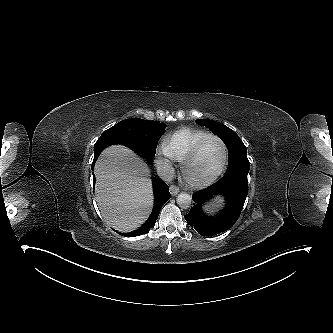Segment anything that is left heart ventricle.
<instances>
[{
	"label": "left heart ventricle",
	"mask_w": 333,
	"mask_h": 333,
	"mask_svg": "<svg viewBox=\"0 0 333 333\" xmlns=\"http://www.w3.org/2000/svg\"><path fill=\"white\" fill-rule=\"evenodd\" d=\"M223 159V147L216 139L208 140L200 149L196 158L188 166V174L196 180L211 177L220 167Z\"/></svg>",
	"instance_id": "left-heart-ventricle-1"
}]
</instances>
